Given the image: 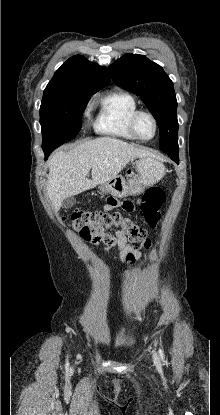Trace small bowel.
Instances as JSON below:
<instances>
[{
  "label": "small bowel",
  "mask_w": 220,
  "mask_h": 415,
  "mask_svg": "<svg viewBox=\"0 0 220 415\" xmlns=\"http://www.w3.org/2000/svg\"><path fill=\"white\" fill-rule=\"evenodd\" d=\"M132 209L133 206L126 209V211H132ZM80 236L84 241L95 246L99 245L100 242H103L106 244L107 252L117 250L122 256L133 252L134 250L129 245L126 235L120 229L116 230L114 234L107 233L104 230H101L100 232L90 231L88 233H83L80 231Z\"/></svg>",
  "instance_id": "obj_1"
}]
</instances>
